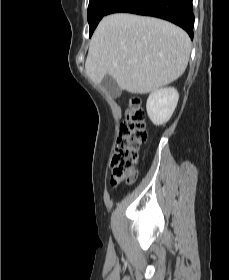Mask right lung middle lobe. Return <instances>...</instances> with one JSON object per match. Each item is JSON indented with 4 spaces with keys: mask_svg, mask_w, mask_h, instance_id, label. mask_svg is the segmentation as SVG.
I'll list each match as a JSON object with an SVG mask.
<instances>
[{
    "mask_svg": "<svg viewBox=\"0 0 229 280\" xmlns=\"http://www.w3.org/2000/svg\"><path fill=\"white\" fill-rule=\"evenodd\" d=\"M114 1L115 0H90L88 6L90 36L92 35L102 17L107 14L108 9Z\"/></svg>",
    "mask_w": 229,
    "mask_h": 280,
    "instance_id": "dd1d6c3e",
    "label": "right lung middle lobe"
}]
</instances>
